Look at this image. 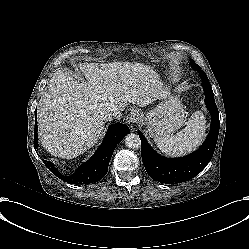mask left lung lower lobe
Returning a JSON list of instances; mask_svg holds the SVG:
<instances>
[{"label":"left lung lower lobe","instance_id":"left-lung-lower-lobe-1","mask_svg":"<svg viewBox=\"0 0 249 249\" xmlns=\"http://www.w3.org/2000/svg\"><path fill=\"white\" fill-rule=\"evenodd\" d=\"M202 85L205 92V104L211 113V129L203 145L181 158H165L157 154L138 131L141 139V155L144 167L149 176L158 182L175 184L187 181L200 173L210 162L219 134V112L215 104L214 93L206 77Z\"/></svg>","mask_w":249,"mask_h":249}]
</instances>
